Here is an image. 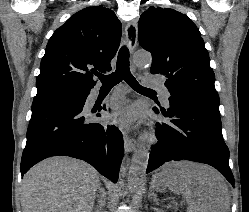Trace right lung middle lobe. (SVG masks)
I'll return each mask as SVG.
<instances>
[{
	"mask_svg": "<svg viewBox=\"0 0 249 212\" xmlns=\"http://www.w3.org/2000/svg\"><path fill=\"white\" fill-rule=\"evenodd\" d=\"M81 94L82 92H74V91L54 92L34 97V100H49V99H59V98L74 97V96L79 97Z\"/></svg>",
	"mask_w": 249,
	"mask_h": 212,
	"instance_id": "1",
	"label": "right lung middle lobe"
}]
</instances>
